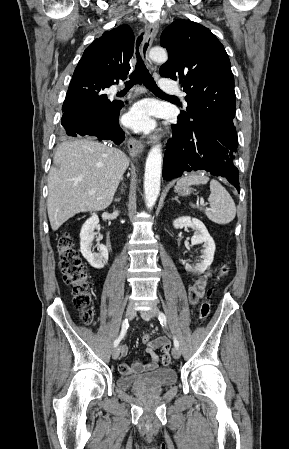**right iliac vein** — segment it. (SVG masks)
Listing matches in <instances>:
<instances>
[{"label":"right iliac vein","instance_id":"63e3f726","mask_svg":"<svg viewBox=\"0 0 289 449\" xmlns=\"http://www.w3.org/2000/svg\"><path fill=\"white\" fill-rule=\"evenodd\" d=\"M135 314H136V311H135L134 305H133V304H129L128 307H127V309H126V317H127L129 320H131V319L134 318ZM119 355H120V347H119V346H116V347L112 350V357H113L114 360H116V359H118Z\"/></svg>","mask_w":289,"mask_h":449}]
</instances>
